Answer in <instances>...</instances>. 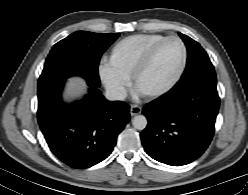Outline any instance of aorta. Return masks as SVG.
Here are the masks:
<instances>
[{"label":"aorta","instance_id":"1","mask_svg":"<svg viewBox=\"0 0 248 195\" xmlns=\"http://www.w3.org/2000/svg\"><path fill=\"white\" fill-rule=\"evenodd\" d=\"M132 125L137 130H144L147 126V119L144 115H136L132 119Z\"/></svg>","mask_w":248,"mask_h":195}]
</instances>
